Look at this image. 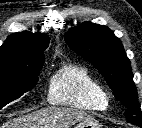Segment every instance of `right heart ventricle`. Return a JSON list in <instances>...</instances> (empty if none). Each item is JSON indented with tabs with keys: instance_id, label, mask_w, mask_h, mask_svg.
<instances>
[{
	"instance_id": "e07e8e85",
	"label": "right heart ventricle",
	"mask_w": 142,
	"mask_h": 128,
	"mask_svg": "<svg viewBox=\"0 0 142 128\" xmlns=\"http://www.w3.org/2000/svg\"><path fill=\"white\" fill-rule=\"evenodd\" d=\"M48 100L55 105L102 111L108 107L103 85L83 65L63 64L51 76Z\"/></svg>"
}]
</instances>
